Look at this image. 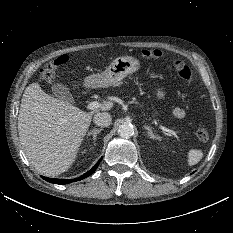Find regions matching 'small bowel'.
I'll use <instances>...</instances> for the list:
<instances>
[{
    "instance_id": "small-bowel-1",
    "label": "small bowel",
    "mask_w": 233,
    "mask_h": 233,
    "mask_svg": "<svg viewBox=\"0 0 233 233\" xmlns=\"http://www.w3.org/2000/svg\"><path fill=\"white\" fill-rule=\"evenodd\" d=\"M172 113L176 118H183L185 116V111L184 109L180 108V107H173L172 109Z\"/></svg>"
}]
</instances>
